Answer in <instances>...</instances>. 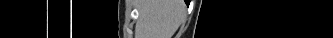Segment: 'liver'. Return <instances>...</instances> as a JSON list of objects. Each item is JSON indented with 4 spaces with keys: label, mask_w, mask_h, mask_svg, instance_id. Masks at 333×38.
I'll list each match as a JSON object with an SVG mask.
<instances>
[{
    "label": "liver",
    "mask_w": 333,
    "mask_h": 38,
    "mask_svg": "<svg viewBox=\"0 0 333 38\" xmlns=\"http://www.w3.org/2000/svg\"><path fill=\"white\" fill-rule=\"evenodd\" d=\"M137 38H172L186 13L183 0H140Z\"/></svg>",
    "instance_id": "1"
}]
</instances>
